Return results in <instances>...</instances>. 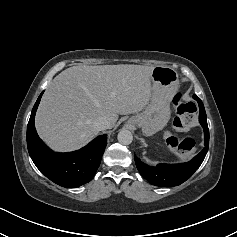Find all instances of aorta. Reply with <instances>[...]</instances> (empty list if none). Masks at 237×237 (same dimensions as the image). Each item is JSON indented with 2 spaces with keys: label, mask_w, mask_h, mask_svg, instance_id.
Segmentation results:
<instances>
[{
  "label": "aorta",
  "mask_w": 237,
  "mask_h": 237,
  "mask_svg": "<svg viewBox=\"0 0 237 237\" xmlns=\"http://www.w3.org/2000/svg\"><path fill=\"white\" fill-rule=\"evenodd\" d=\"M117 139L122 145H129L133 141V135L129 130L122 129L119 131Z\"/></svg>",
  "instance_id": "762f6f07"
}]
</instances>
